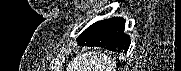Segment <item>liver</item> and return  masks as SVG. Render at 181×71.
<instances>
[{"mask_svg": "<svg viewBox=\"0 0 181 71\" xmlns=\"http://www.w3.org/2000/svg\"><path fill=\"white\" fill-rule=\"evenodd\" d=\"M115 62L104 53L89 51L78 54L66 71H114Z\"/></svg>", "mask_w": 181, "mask_h": 71, "instance_id": "6515ba94", "label": "liver"}]
</instances>
